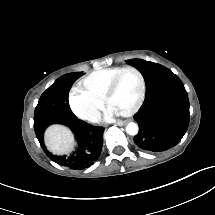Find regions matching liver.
Here are the masks:
<instances>
[{
  "label": "liver",
  "instance_id": "obj_1",
  "mask_svg": "<svg viewBox=\"0 0 215 215\" xmlns=\"http://www.w3.org/2000/svg\"><path fill=\"white\" fill-rule=\"evenodd\" d=\"M43 142L47 151L54 156L62 157L70 155L78 146V141L71 128L60 123H52L46 127Z\"/></svg>",
  "mask_w": 215,
  "mask_h": 215
}]
</instances>
